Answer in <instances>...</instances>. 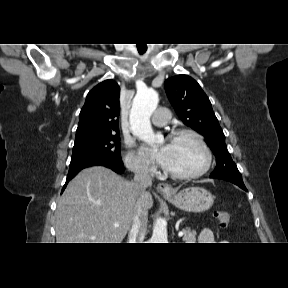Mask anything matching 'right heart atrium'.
Returning a JSON list of instances; mask_svg holds the SVG:
<instances>
[{
	"label": "right heart atrium",
	"instance_id": "right-heart-atrium-1",
	"mask_svg": "<svg viewBox=\"0 0 288 288\" xmlns=\"http://www.w3.org/2000/svg\"><path fill=\"white\" fill-rule=\"evenodd\" d=\"M126 146L125 163L127 167L138 174H150L153 170L152 162L141 153L135 151L132 142H127Z\"/></svg>",
	"mask_w": 288,
	"mask_h": 288
}]
</instances>
